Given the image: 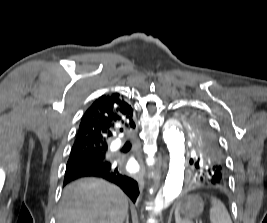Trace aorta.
Wrapping results in <instances>:
<instances>
[{
	"mask_svg": "<svg viewBox=\"0 0 267 223\" xmlns=\"http://www.w3.org/2000/svg\"><path fill=\"white\" fill-rule=\"evenodd\" d=\"M163 139L169 150L170 161L165 184L154 199L155 213L169 206L181 194L184 184L185 139L178 120L169 119L166 122Z\"/></svg>",
	"mask_w": 267,
	"mask_h": 223,
	"instance_id": "aorta-1",
	"label": "aorta"
}]
</instances>
